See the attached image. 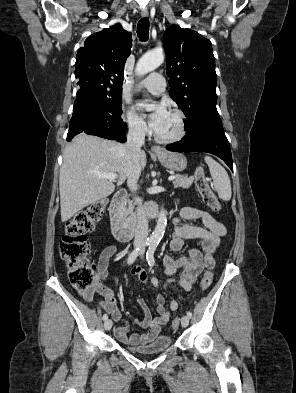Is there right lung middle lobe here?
Segmentation results:
<instances>
[{
	"label": "right lung middle lobe",
	"mask_w": 296,
	"mask_h": 393,
	"mask_svg": "<svg viewBox=\"0 0 296 393\" xmlns=\"http://www.w3.org/2000/svg\"><path fill=\"white\" fill-rule=\"evenodd\" d=\"M77 84L80 86L79 92L88 95L99 104L109 109L114 115L121 116L122 89L114 88L102 80L95 78H84L79 80Z\"/></svg>",
	"instance_id": "right-lung-middle-lobe-1"
}]
</instances>
